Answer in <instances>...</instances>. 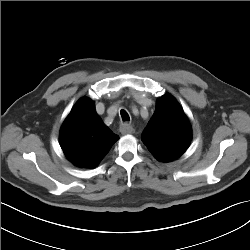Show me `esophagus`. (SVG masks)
Masks as SVG:
<instances>
[{"mask_svg":"<svg viewBox=\"0 0 250 250\" xmlns=\"http://www.w3.org/2000/svg\"><path fill=\"white\" fill-rule=\"evenodd\" d=\"M119 130L123 135L132 134L134 132V128L127 123L121 124Z\"/></svg>","mask_w":250,"mask_h":250,"instance_id":"obj_1","label":"esophagus"}]
</instances>
